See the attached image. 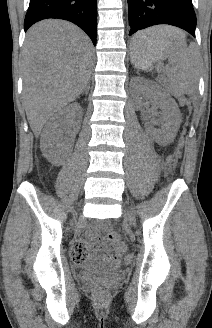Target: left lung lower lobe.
I'll return each mask as SVG.
<instances>
[{"label": "left lung lower lobe", "instance_id": "left-lung-lower-lobe-1", "mask_svg": "<svg viewBox=\"0 0 212 328\" xmlns=\"http://www.w3.org/2000/svg\"><path fill=\"white\" fill-rule=\"evenodd\" d=\"M130 33L158 24L177 26L195 37L196 16L192 0H128ZM133 48L140 42L132 41Z\"/></svg>", "mask_w": 212, "mask_h": 328}]
</instances>
